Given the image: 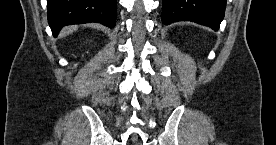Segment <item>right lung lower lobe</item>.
<instances>
[{
  "instance_id": "98d812e1",
  "label": "right lung lower lobe",
  "mask_w": 276,
  "mask_h": 145,
  "mask_svg": "<svg viewBox=\"0 0 276 145\" xmlns=\"http://www.w3.org/2000/svg\"><path fill=\"white\" fill-rule=\"evenodd\" d=\"M48 23L54 36L69 24L101 23L113 28L116 0H47Z\"/></svg>"
}]
</instances>
